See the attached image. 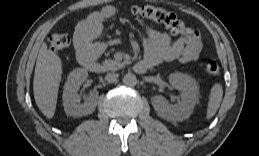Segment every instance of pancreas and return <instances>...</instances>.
I'll use <instances>...</instances> for the list:
<instances>
[{
  "label": "pancreas",
  "mask_w": 259,
  "mask_h": 156,
  "mask_svg": "<svg viewBox=\"0 0 259 156\" xmlns=\"http://www.w3.org/2000/svg\"><path fill=\"white\" fill-rule=\"evenodd\" d=\"M125 65L124 62L116 60H105L103 62V69L105 71H115L121 69Z\"/></svg>",
  "instance_id": "pancreas-1"
}]
</instances>
